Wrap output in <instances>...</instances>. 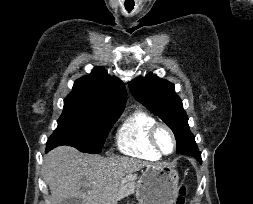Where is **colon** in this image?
Instances as JSON below:
<instances>
[{
    "label": "colon",
    "instance_id": "obj_1",
    "mask_svg": "<svg viewBox=\"0 0 253 204\" xmlns=\"http://www.w3.org/2000/svg\"><path fill=\"white\" fill-rule=\"evenodd\" d=\"M186 195H187V188L185 186H182L180 188L179 194L175 200V204H185Z\"/></svg>",
    "mask_w": 253,
    "mask_h": 204
}]
</instances>
